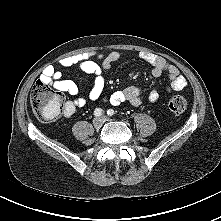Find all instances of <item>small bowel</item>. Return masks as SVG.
I'll list each match as a JSON object with an SVG mask.
<instances>
[{
  "instance_id": "1",
  "label": "small bowel",
  "mask_w": 221,
  "mask_h": 221,
  "mask_svg": "<svg viewBox=\"0 0 221 221\" xmlns=\"http://www.w3.org/2000/svg\"><path fill=\"white\" fill-rule=\"evenodd\" d=\"M91 56V53H79L63 57L59 61V65L62 67L76 66L82 72L92 77V86L87 97L77 96L79 93L77 84L72 80L65 79L62 72L55 66H47L40 76L39 82L51 85L54 89L75 97L66 101L64 106L65 117L72 116L78 107H83L88 101L98 100L102 96L105 87L103 73L111 68L113 62L120 59L121 54L117 51L110 52L107 55L98 54L97 57L100 62L93 61ZM139 58L151 65L153 76L158 77L163 73H167L171 81L169 86L171 90L180 91L186 87L187 81L185 77L180 74L177 67L168 63L163 57L141 51ZM141 94L142 90L140 88L129 86L112 93L108 100L113 105H119L128 101L132 105L138 106L141 102ZM148 99L152 103L157 102L159 99L158 92L151 90L148 94Z\"/></svg>"
}]
</instances>
